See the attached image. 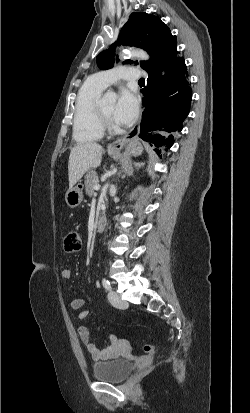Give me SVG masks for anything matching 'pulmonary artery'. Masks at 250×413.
I'll return each mask as SVG.
<instances>
[{
  "label": "pulmonary artery",
  "instance_id": "pulmonary-artery-1",
  "mask_svg": "<svg viewBox=\"0 0 250 413\" xmlns=\"http://www.w3.org/2000/svg\"><path fill=\"white\" fill-rule=\"evenodd\" d=\"M142 72L133 67L118 66L94 74L90 79L100 88L105 89L120 79L137 80Z\"/></svg>",
  "mask_w": 250,
  "mask_h": 413
}]
</instances>
